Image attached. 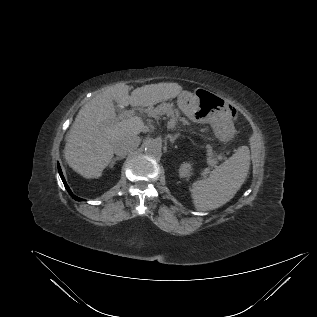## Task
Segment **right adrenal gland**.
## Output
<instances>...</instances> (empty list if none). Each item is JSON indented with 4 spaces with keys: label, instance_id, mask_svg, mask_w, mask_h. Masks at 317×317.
<instances>
[{
    "label": "right adrenal gland",
    "instance_id": "right-adrenal-gland-1",
    "mask_svg": "<svg viewBox=\"0 0 317 317\" xmlns=\"http://www.w3.org/2000/svg\"><path fill=\"white\" fill-rule=\"evenodd\" d=\"M124 157H115L111 160L110 164H109V167L110 168H113L114 164L116 161H119V160H122Z\"/></svg>",
    "mask_w": 317,
    "mask_h": 317
}]
</instances>
